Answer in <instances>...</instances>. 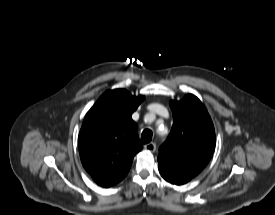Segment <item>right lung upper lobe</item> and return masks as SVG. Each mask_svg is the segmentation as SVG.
<instances>
[{"mask_svg":"<svg viewBox=\"0 0 275 215\" xmlns=\"http://www.w3.org/2000/svg\"><path fill=\"white\" fill-rule=\"evenodd\" d=\"M144 100L124 89L106 91L86 114L78 148L84 168L100 186L110 187L128 173L143 146L131 115Z\"/></svg>","mask_w":275,"mask_h":215,"instance_id":"obj_1","label":"right lung upper lobe"}]
</instances>
